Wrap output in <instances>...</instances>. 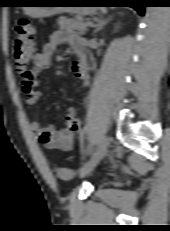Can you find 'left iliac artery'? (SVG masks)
<instances>
[{
  "label": "left iliac artery",
  "mask_w": 170,
  "mask_h": 231,
  "mask_svg": "<svg viewBox=\"0 0 170 231\" xmlns=\"http://www.w3.org/2000/svg\"><path fill=\"white\" fill-rule=\"evenodd\" d=\"M87 132V127H84L80 132L81 140H83L85 133Z\"/></svg>",
  "instance_id": "44dca946"
}]
</instances>
